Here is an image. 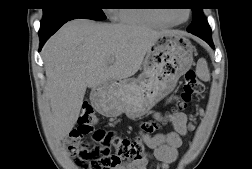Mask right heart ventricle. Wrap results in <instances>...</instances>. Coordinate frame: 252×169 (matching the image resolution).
I'll return each mask as SVG.
<instances>
[{"mask_svg": "<svg viewBox=\"0 0 252 169\" xmlns=\"http://www.w3.org/2000/svg\"><path fill=\"white\" fill-rule=\"evenodd\" d=\"M117 21L126 25L149 26L157 28L168 27L169 24L162 22L143 9L119 8L113 11Z\"/></svg>", "mask_w": 252, "mask_h": 169, "instance_id": "e07e8e85", "label": "right heart ventricle"}]
</instances>
